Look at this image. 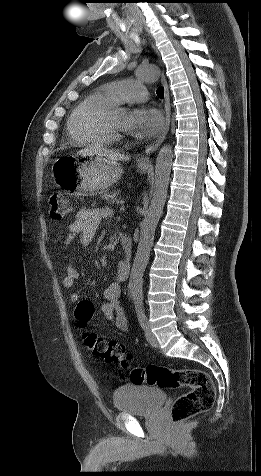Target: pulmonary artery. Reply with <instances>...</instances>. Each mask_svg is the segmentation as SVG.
<instances>
[{"mask_svg":"<svg viewBox=\"0 0 261 476\" xmlns=\"http://www.w3.org/2000/svg\"><path fill=\"white\" fill-rule=\"evenodd\" d=\"M104 90L118 103L143 102L148 99L146 87L136 80H123L105 86Z\"/></svg>","mask_w":261,"mask_h":476,"instance_id":"1","label":"pulmonary artery"}]
</instances>
